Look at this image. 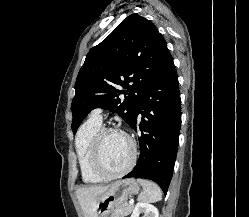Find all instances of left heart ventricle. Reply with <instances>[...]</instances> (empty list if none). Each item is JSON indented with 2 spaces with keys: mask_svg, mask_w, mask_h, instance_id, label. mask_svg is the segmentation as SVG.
I'll use <instances>...</instances> for the list:
<instances>
[{
  "mask_svg": "<svg viewBox=\"0 0 249 217\" xmlns=\"http://www.w3.org/2000/svg\"><path fill=\"white\" fill-rule=\"evenodd\" d=\"M131 147L127 139L119 133H108L101 144V163L108 172H118L130 161Z\"/></svg>",
  "mask_w": 249,
  "mask_h": 217,
  "instance_id": "left-heart-ventricle-1",
  "label": "left heart ventricle"
}]
</instances>
